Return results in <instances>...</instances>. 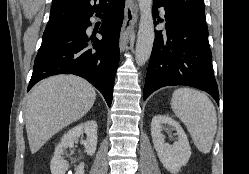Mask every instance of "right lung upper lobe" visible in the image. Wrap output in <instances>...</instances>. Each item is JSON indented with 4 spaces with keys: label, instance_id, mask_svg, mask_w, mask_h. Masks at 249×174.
Wrapping results in <instances>:
<instances>
[{
    "label": "right lung upper lobe",
    "instance_id": "right-lung-upper-lobe-1",
    "mask_svg": "<svg viewBox=\"0 0 249 174\" xmlns=\"http://www.w3.org/2000/svg\"><path fill=\"white\" fill-rule=\"evenodd\" d=\"M113 1L114 0H53L50 18L46 27H55L75 18L90 17L95 12L97 14L102 13ZM96 2H99V4H96Z\"/></svg>",
    "mask_w": 249,
    "mask_h": 174
}]
</instances>
